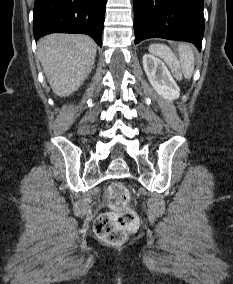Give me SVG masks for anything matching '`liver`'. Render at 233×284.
Returning a JSON list of instances; mask_svg holds the SVG:
<instances>
[{"mask_svg": "<svg viewBox=\"0 0 233 284\" xmlns=\"http://www.w3.org/2000/svg\"><path fill=\"white\" fill-rule=\"evenodd\" d=\"M97 52L86 35L54 33L39 40L37 55L53 92L67 97L90 74Z\"/></svg>", "mask_w": 233, "mask_h": 284, "instance_id": "obj_1", "label": "liver"}]
</instances>
